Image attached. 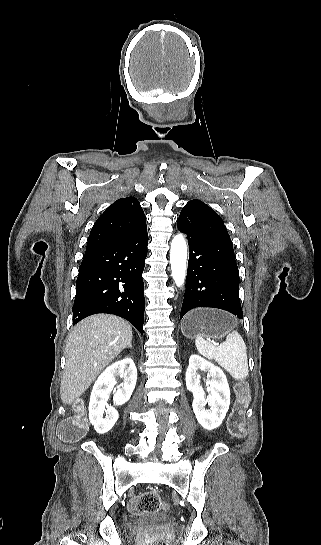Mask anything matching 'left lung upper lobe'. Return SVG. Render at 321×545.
<instances>
[{
    "instance_id": "5c2ea615",
    "label": "left lung upper lobe",
    "mask_w": 321,
    "mask_h": 545,
    "mask_svg": "<svg viewBox=\"0 0 321 545\" xmlns=\"http://www.w3.org/2000/svg\"><path fill=\"white\" fill-rule=\"evenodd\" d=\"M197 202H201V201L195 199V200L189 201L187 204H192V203H197Z\"/></svg>"
}]
</instances>
